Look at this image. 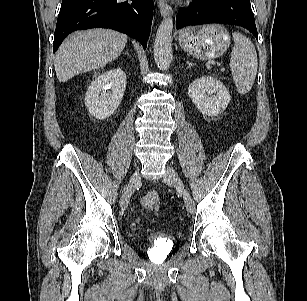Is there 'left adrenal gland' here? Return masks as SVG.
<instances>
[{"label": "left adrenal gland", "instance_id": "1", "mask_svg": "<svg viewBox=\"0 0 307 301\" xmlns=\"http://www.w3.org/2000/svg\"><path fill=\"white\" fill-rule=\"evenodd\" d=\"M186 64H187V68H190L191 66L194 65V63H190L189 61H186Z\"/></svg>", "mask_w": 307, "mask_h": 301}]
</instances>
